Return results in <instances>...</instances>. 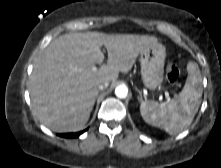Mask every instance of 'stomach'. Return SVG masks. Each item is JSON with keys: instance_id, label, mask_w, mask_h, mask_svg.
I'll list each match as a JSON object with an SVG mask.
<instances>
[{"instance_id": "stomach-1", "label": "stomach", "mask_w": 221, "mask_h": 168, "mask_svg": "<svg viewBox=\"0 0 221 168\" xmlns=\"http://www.w3.org/2000/svg\"><path fill=\"white\" fill-rule=\"evenodd\" d=\"M165 47L157 44L141 51V79L146 88L155 90L163 82Z\"/></svg>"}]
</instances>
